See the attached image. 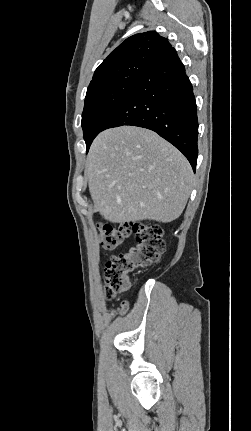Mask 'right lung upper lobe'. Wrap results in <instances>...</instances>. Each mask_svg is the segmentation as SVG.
Here are the masks:
<instances>
[{
    "label": "right lung upper lobe",
    "mask_w": 251,
    "mask_h": 431,
    "mask_svg": "<svg viewBox=\"0 0 251 431\" xmlns=\"http://www.w3.org/2000/svg\"><path fill=\"white\" fill-rule=\"evenodd\" d=\"M158 49L164 52L175 51L165 38L154 31L135 34L127 38L98 66L90 84L127 64L142 60L149 61L152 54Z\"/></svg>",
    "instance_id": "1"
}]
</instances>
